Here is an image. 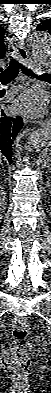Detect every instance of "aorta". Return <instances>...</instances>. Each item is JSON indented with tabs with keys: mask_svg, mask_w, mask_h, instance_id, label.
<instances>
[{
	"mask_svg": "<svg viewBox=\"0 0 51 393\" xmlns=\"http://www.w3.org/2000/svg\"><path fill=\"white\" fill-rule=\"evenodd\" d=\"M34 64L41 70L42 65L51 55V37L45 32H35L30 37ZM51 141L50 127L38 129L30 138V144L37 147L46 146Z\"/></svg>",
	"mask_w": 51,
	"mask_h": 393,
	"instance_id": "762f6f07",
	"label": "aorta"
}]
</instances>
